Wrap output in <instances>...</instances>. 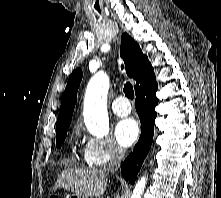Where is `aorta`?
<instances>
[{"mask_svg":"<svg viewBox=\"0 0 221 198\" xmlns=\"http://www.w3.org/2000/svg\"><path fill=\"white\" fill-rule=\"evenodd\" d=\"M109 78L106 73L98 72L89 81L84 98L83 116L87 130L101 138L109 133L107 113V94ZM147 178L142 176L136 183L131 198H142Z\"/></svg>","mask_w":221,"mask_h":198,"instance_id":"762f6f07","label":"aorta"}]
</instances>
